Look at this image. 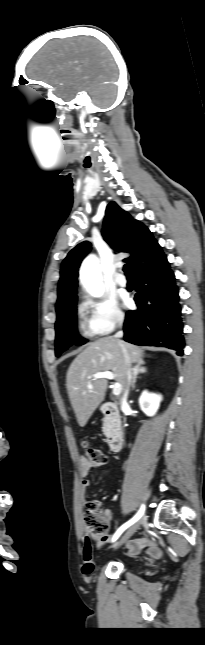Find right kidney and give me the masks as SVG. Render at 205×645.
Returning <instances> with one entry per match:
<instances>
[{"label": "right kidney", "mask_w": 205, "mask_h": 645, "mask_svg": "<svg viewBox=\"0 0 205 645\" xmlns=\"http://www.w3.org/2000/svg\"><path fill=\"white\" fill-rule=\"evenodd\" d=\"M161 399L160 395L143 391L139 398L140 408L147 416H154L159 408Z\"/></svg>", "instance_id": "obj_1"}]
</instances>
